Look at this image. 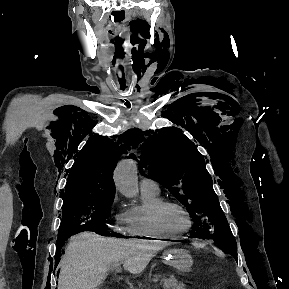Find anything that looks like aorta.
Returning a JSON list of instances; mask_svg holds the SVG:
<instances>
[{
	"label": "aorta",
	"mask_w": 289,
	"mask_h": 289,
	"mask_svg": "<svg viewBox=\"0 0 289 289\" xmlns=\"http://www.w3.org/2000/svg\"><path fill=\"white\" fill-rule=\"evenodd\" d=\"M116 189L128 198H136L138 194L137 164L131 159L121 160L113 175Z\"/></svg>",
	"instance_id": "aorta-1"
}]
</instances>
